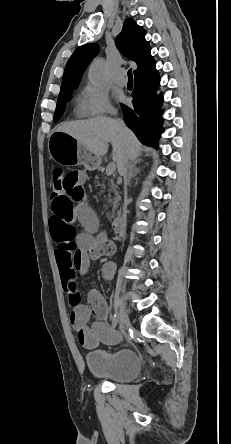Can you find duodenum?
Here are the masks:
<instances>
[{"label": "duodenum", "mask_w": 231, "mask_h": 444, "mask_svg": "<svg viewBox=\"0 0 231 444\" xmlns=\"http://www.w3.org/2000/svg\"><path fill=\"white\" fill-rule=\"evenodd\" d=\"M123 219L121 217H117L115 218L112 223H111V229L112 232L116 235V236H124L125 235V229L122 230L120 227L122 226V221Z\"/></svg>", "instance_id": "1"}]
</instances>
